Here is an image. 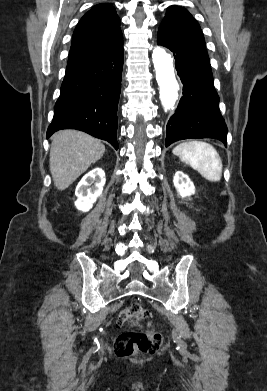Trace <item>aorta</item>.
Here are the masks:
<instances>
[{"mask_svg": "<svg viewBox=\"0 0 267 391\" xmlns=\"http://www.w3.org/2000/svg\"><path fill=\"white\" fill-rule=\"evenodd\" d=\"M152 61L156 71L162 106L165 111L173 110L179 90V84L174 74L173 59L165 49L155 47L152 52Z\"/></svg>", "mask_w": 267, "mask_h": 391, "instance_id": "762f6f07", "label": "aorta"}]
</instances>
